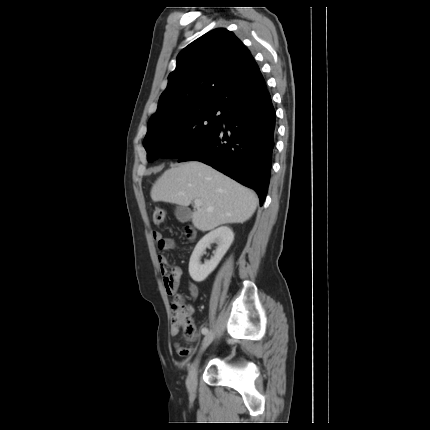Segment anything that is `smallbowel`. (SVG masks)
Returning <instances> with one entry per match:
<instances>
[{"mask_svg":"<svg viewBox=\"0 0 430 430\" xmlns=\"http://www.w3.org/2000/svg\"><path fill=\"white\" fill-rule=\"evenodd\" d=\"M153 238L156 241L159 249H161V250H169V249H172L174 247V242L171 239L163 238L160 233H157V232L154 233ZM158 262H159L160 271L163 274L162 281L164 284V292L166 294H174L176 292V290L178 289L179 284H180V280L182 277V269L178 266H173L170 269V274H167V271H166L167 260H166V258L164 256H159ZM188 290H189L190 296L192 298H195L197 296L198 289H197L196 285L189 284ZM207 329L208 328L206 326H202L200 329V332L204 335L205 334L204 332ZM178 334H179V327L174 322L172 327H171V330H170V335L173 339L172 346H173L174 350L177 352V354H179L180 356H183L186 358L191 357L194 349L190 348V347H182L177 340Z\"/></svg>","mask_w":430,"mask_h":430,"instance_id":"obj_1","label":"small bowel"}]
</instances>
